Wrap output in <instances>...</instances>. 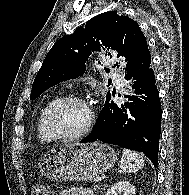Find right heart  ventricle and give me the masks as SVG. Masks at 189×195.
I'll return each instance as SVG.
<instances>
[{"instance_id":"right-heart-ventricle-1","label":"right heart ventricle","mask_w":189,"mask_h":195,"mask_svg":"<svg viewBox=\"0 0 189 195\" xmlns=\"http://www.w3.org/2000/svg\"><path fill=\"white\" fill-rule=\"evenodd\" d=\"M63 97L62 94L52 96L39 111L36 118V133L41 142H51L54 139L49 134L46 128V117L50 109Z\"/></svg>"}]
</instances>
